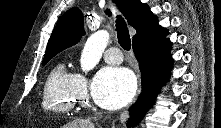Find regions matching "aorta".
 <instances>
[{
	"label": "aorta",
	"mask_w": 221,
	"mask_h": 128,
	"mask_svg": "<svg viewBox=\"0 0 221 128\" xmlns=\"http://www.w3.org/2000/svg\"><path fill=\"white\" fill-rule=\"evenodd\" d=\"M108 41L109 33L106 30L97 31L87 39L80 58L81 69L85 73L98 64Z\"/></svg>",
	"instance_id": "762f6f07"
}]
</instances>
